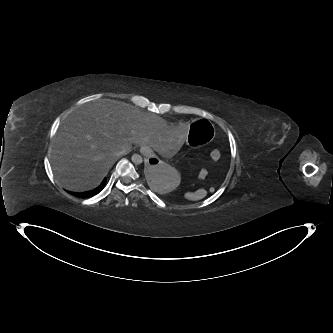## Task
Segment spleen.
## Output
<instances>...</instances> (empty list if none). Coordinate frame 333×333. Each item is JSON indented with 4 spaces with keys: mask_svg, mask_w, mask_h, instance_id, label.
Masks as SVG:
<instances>
[{
    "mask_svg": "<svg viewBox=\"0 0 333 333\" xmlns=\"http://www.w3.org/2000/svg\"><path fill=\"white\" fill-rule=\"evenodd\" d=\"M205 195H206V192L200 189V190L196 191L195 193L188 194L187 197L191 198V199H201V198L205 197Z\"/></svg>",
    "mask_w": 333,
    "mask_h": 333,
    "instance_id": "spleen-1",
    "label": "spleen"
}]
</instances>
